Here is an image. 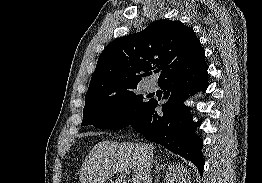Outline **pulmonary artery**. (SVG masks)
I'll return each mask as SVG.
<instances>
[{
    "instance_id": "1",
    "label": "pulmonary artery",
    "mask_w": 262,
    "mask_h": 183,
    "mask_svg": "<svg viewBox=\"0 0 262 183\" xmlns=\"http://www.w3.org/2000/svg\"><path fill=\"white\" fill-rule=\"evenodd\" d=\"M154 89H155V86L153 84H148L146 86V91L147 92H152V91H154Z\"/></svg>"
}]
</instances>
